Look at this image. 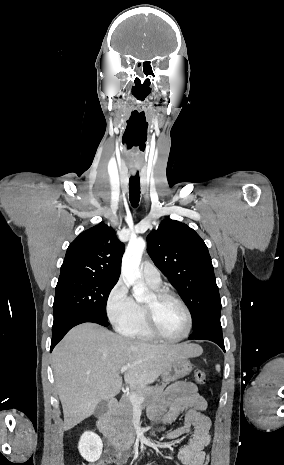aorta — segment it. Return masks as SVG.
Segmentation results:
<instances>
[{
	"label": "aorta",
	"mask_w": 284,
	"mask_h": 465,
	"mask_svg": "<svg viewBox=\"0 0 284 465\" xmlns=\"http://www.w3.org/2000/svg\"><path fill=\"white\" fill-rule=\"evenodd\" d=\"M145 247L146 242L141 237L130 240L122 259L123 279L125 283L133 287V295L138 302L145 301L149 296L139 270Z\"/></svg>",
	"instance_id": "obj_1"
}]
</instances>
